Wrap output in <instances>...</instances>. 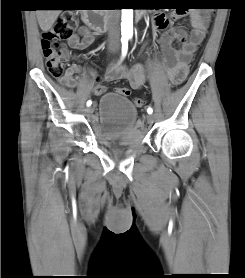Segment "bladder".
Segmentation results:
<instances>
[{
	"mask_svg": "<svg viewBox=\"0 0 245 278\" xmlns=\"http://www.w3.org/2000/svg\"><path fill=\"white\" fill-rule=\"evenodd\" d=\"M136 106L125 96L105 93L100 99L98 120L94 126L97 141L107 148L133 149L143 144Z\"/></svg>",
	"mask_w": 245,
	"mask_h": 278,
	"instance_id": "bladder-1",
	"label": "bladder"
}]
</instances>
